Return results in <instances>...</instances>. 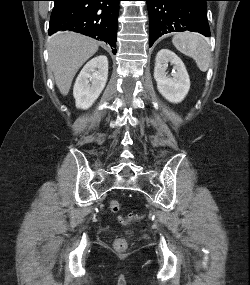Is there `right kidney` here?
<instances>
[{
  "label": "right kidney",
  "mask_w": 250,
  "mask_h": 285,
  "mask_svg": "<svg viewBox=\"0 0 250 285\" xmlns=\"http://www.w3.org/2000/svg\"><path fill=\"white\" fill-rule=\"evenodd\" d=\"M108 79V59L105 55L91 59L79 73L73 88L77 108L88 109L103 91Z\"/></svg>",
  "instance_id": "ca27d5eb"
}]
</instances>
